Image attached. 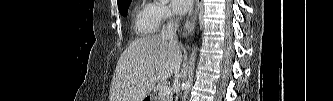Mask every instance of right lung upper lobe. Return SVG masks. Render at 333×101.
I'll list each match as a JSON object with an SVG mask.
<instances>
[{
    "instance_id": "cb5924a9",
    "label": "right lung upper lobe",
    "mask_w": 333,
    "mask_h": 101,
    "mask_svg": "<svg viewBox=\"0 0 333 101\" xmlns=\"http://www.w3.org/2000/svg\"><path fill=\"white\" fill-rule=\"evenodd\" d=\"M125 0H117L118 4L122 3Z\"/></svg>"
}]
</instances>
